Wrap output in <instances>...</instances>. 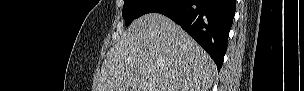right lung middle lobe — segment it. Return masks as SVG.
Instances as JSON below:
<instances>
[{"label":"right lung middle lobe","mask_w":304,"mask_h":91,"mask_svg":"<svg viewBox=\"0 0 304 91\" xmlns=\"http://www.w3.org/2000/svg\"><path fill=\"white\" fill-rule=\"evenodd\" d=\"M157 0H124L123 18L126 26H129L135 18L148 13Z\"/></svg>","instance_id":"1"}]
</instances>
